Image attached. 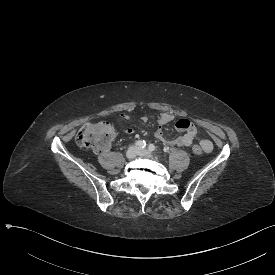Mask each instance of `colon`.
<instances>
[{"instance_id":"obj_1","label":"colon","mask_w":275,"mask_h":275,"mask_svg":"<svg viewBox=\"0 0 275 275\" xmlns=\"http://www.w3.org/2000/svg\"><path fill=\"white\" fill-rule=\"evenodd\" d=\"M116 136L114 126L106 121L87 122L83 124L76 135V141L80 147L90 148L95 152L105 153L108 151L110 143ZM194 152L201 154L204 146L198 144L193 148Z\"/></svg>"}]
</instances>
